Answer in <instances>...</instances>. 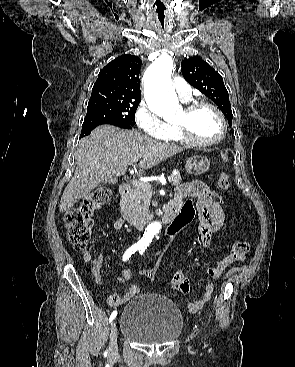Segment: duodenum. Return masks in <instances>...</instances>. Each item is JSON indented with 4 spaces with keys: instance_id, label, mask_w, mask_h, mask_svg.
<instances>
[{
    "instance_id": "410a0bca",
    "label": "duodenum",
    "mask_w": 295,
    "mask_h": 367,
    "mask_svg": "<svg viewBox=\"0 0 295 367\" xmlns=\"http://www.w3.org/2000/svg\"><path fill=\"white\" fill-rule=\"evenodd\" d=\"M118 191L120 194V209L123 218L137 227H143L150 219V217L137 212L130 206L128 202V198L131 193L130 184L126 182L122 183L119 186ZM180 208L181 204L176 200H172L171 202L166 204L161 213L162 222L169 223L173 221L179 214Z\"/></svg>"
}]
</instances>
